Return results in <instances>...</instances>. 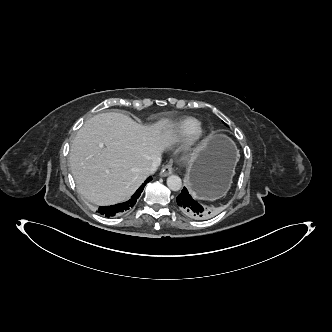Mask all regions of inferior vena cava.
I'll return each mask as SVG.
<instances>
[{
    "label": "inferior vena cava",
    "mask_w": 332,
    "mask_h": 332,
    "mask_svg": "<svg viewBox=\"0 0 332 332\" xmlns=\"http://www.w3.org/2000/svg\"><path fill=\"white\" fill-rule=\"evenodd\" d=\"M161 163V159L160 158H157L155 161H153L151 163L150 166H148L145 170L147 172L148 175H151V174H154L158 168V166L160 165Z\"/></svg>",
    "instance_id": "inferior-vena-cava-1"
}]
</instances>
